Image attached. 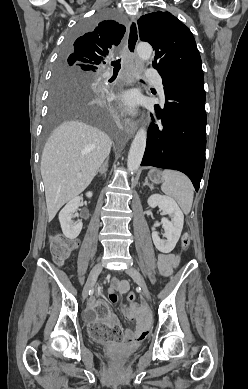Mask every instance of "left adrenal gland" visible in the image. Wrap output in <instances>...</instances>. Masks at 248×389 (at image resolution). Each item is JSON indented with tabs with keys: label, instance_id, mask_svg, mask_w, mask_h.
<instances>
[{
	"label": "left adrenal gland",
	"instance_id": "left-adrenal-gland-1",
	"mask_svg": "<svg viewBox=\"0 0 248 389\" xmlns=\"http://www.w3.org/2000/svg\"><path fill=\"white\" fill-rule=\"evenodd\" d=\"M148 186L150 189L152 188V185L148 182V179L146 178L145 179V182H144V184H143V186Z\"/></svg>",
	"mask_w": 248,
	"mask_h": 389
}]
</instances>
